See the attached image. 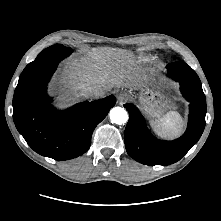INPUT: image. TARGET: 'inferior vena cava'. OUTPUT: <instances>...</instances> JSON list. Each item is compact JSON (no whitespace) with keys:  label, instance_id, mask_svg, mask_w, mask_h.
Returning a JSON list of instances; mask_svg holds the SVG:
<instances>
[{"label":"inferior vena cava","instance_id":"1","mask_svg":"<svg viewBox=\"0 0 221 221\" xmlns=\"http://www.w3.org/2000/svg\"><path fill=\"white\" fill-rule=\"evenodd\" d=\"M82 95L86 98L95 99L103 95V91L96 86H88L82 90Z\"/></svg>","mask_w":221,"mask_h":221}]
</instances>
